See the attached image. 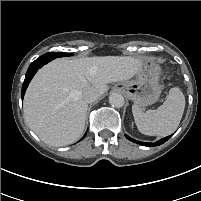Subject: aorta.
<instances>
[{
    "label": "aorta",
    "instance_id": "762f6f07",
    "mask_svg": "<svg viewBox=\"0 0 201 201\" xmlns=\"http://www.w3.org/2000/svg\"><path fill=\"white\" fill-rule=\"evenodd\" d=\"M124 97L118 93H112L109 96V103L112 107L120 108L124 105Z\"/></svg>",
    "mask_w": 201,
    "mask_h": 201
}]
</instances>
